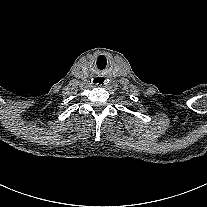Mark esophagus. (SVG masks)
<instances>
[{"mask_svg":"<svg viewBox=\"0 0 207 207\" xmlns=\"http://www.w3.org/2000/svg\"><path fill=\"white\" fill-rule=\"evenodd\" d=\"M94 82L97 86L102 87L106 84L107 79L104 75L99 74L95 77Z\"/></svg>","mask_w":207,"mask_h":207,"instance_id":"esophagus-1","label":"esophagus"}]
</instances>
